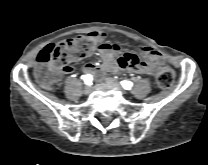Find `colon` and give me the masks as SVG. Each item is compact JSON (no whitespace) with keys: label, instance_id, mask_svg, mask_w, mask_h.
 I'll use <instances>...</instances> for the list:
<instances>
[{"label":"colon","instance_id":"obj_1","mask_svg":"<svg viewBox=\"0 0 208 165\" xmlns=\"http://www.w3.org/2000/svg\"><path fill=\"white\" fill-rule=\"evenodd\" d=\"M96 49L95 40L90 36H78L63 39L50 44L41 50L36 57L35 75L37 80L45 87H52L58 80L59 71L68 64L77 62ZM131 55L126 53L124 59ZM175 73L171 68L165 67L157 75V83L162 88H169L174 84Z\"/></svg>","mask_w":208,"mask_h":165}]
</instances>
